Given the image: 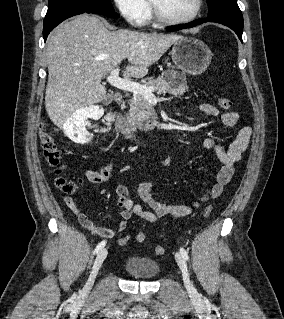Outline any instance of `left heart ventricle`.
I'll list each match as a JSON object with an SVG mask.
<instances>
[{
    "instance_id": "b2bd125f",
    "label": "left heart ventricle",
    "mask_w": 284,
    "mask_h": 319,
    "mask_svg": "<svg viewBox=\"0 0 284 319\" xmlns=\"http://www.w3.org/2000/svg\"><path fill=\"white\" fill-rule=\"evenodd\" d=\"M167 16L184 18L191 15L196 6V0H152Z\"/></svg>"
}]
</instances>
